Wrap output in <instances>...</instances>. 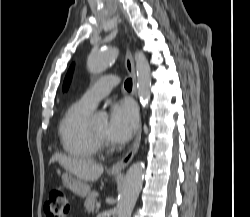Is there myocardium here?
<instances>
[{"label": "myocardium", "instance_id": "f54148a6", "mask_svg": "<svg viewBox=\"0 0 250 217\" xmlns=\"http://www.w3.org/2000/svg\"><path fill=\"white\" fill-rule=\"evenodd\" d=\"M88 131L92 137V139L95 141V143L97 144V146L99 148L101 147H105L108 143L106 138L102 137L101 135H99L92 127L91 122H88Z\"/></svg>", "mask_w": 250, "mask_h": 217}]
</instances>
